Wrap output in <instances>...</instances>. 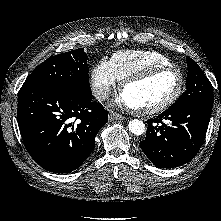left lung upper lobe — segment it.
<instances>
[{"label":"left lung upper lobe","mask_w":221,"mask_h":221,"mask_svg":"<svg viewBox=\"0 0 221 221\" xmlns=\"http://www.w3.org/2000/svg\"><path fill=\"white\" fill-rule=\"evenodd\" d=\"M188 75L187 90L180 99L170 108L176 109L194 101L213 103V89L208 78L203 74L200 67L187 57Z\"/></svg>","instance_id":"1"}]
</instances>
